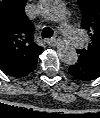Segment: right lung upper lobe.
I'll use <instances>...</instances> for the list:
<instances>
[{"mask_svg":"<svg viewBox=\"0 0 100 118\" xmlns=\"http://www.w3.org/2000/svg\"><path fill=\"white\" fill-rule=\"evenodd\" d=\"M26 1L0 2V68L16 78L35 69L43 50L33 40L34 28L24 14Z\"/></svg>","mask_w":100,"mask_h":118,"instance_id":"obj_1","label":"right lung upper lobe"}]
</instances>
